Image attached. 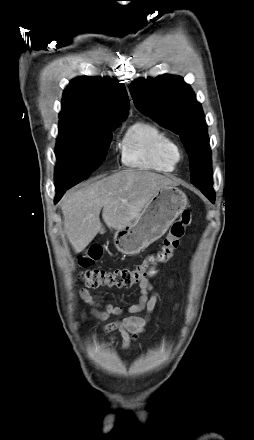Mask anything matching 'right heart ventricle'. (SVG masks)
<instances>
[{"label":"right heart ventricle","instance_id":"1","mask_svg":"<svg viewBox=\"0 0 254 440\" xmlns=\"http://www.w3.org/2000/svg\"><path fill=\"white\" fill-rule=\"evenodd\" d=\"M176 143L162 127L141 120L131 125L122 140V162L130 168L170 172L176 167Z\"/></svg>","mask_w":254,"mask_h":440}]
</instances>
